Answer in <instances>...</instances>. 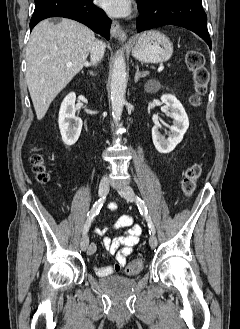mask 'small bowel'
Segmentation results:
<instances>
[{"label": "small bowel", "mask_w": 240, "mask_h": 329, "mask_svg": "<svg viewBox=\"0 0 240 329\" xmlns=\"http://www.w3.org/2000/svg\"><path fill=\"white\" fill-rule=\"evenodd\" d=\"M116 204L109 205L110 210H116ZM116 230H123V234L110 238L104 236L106 230H98L97 234L102 236V244L105 250L115 258V262L104 267H96V274L100 277H105L113 273L120 272L126 265L127 258L132 254L134 246L139 242L142 233V228L139 224L134 223L130 215L120 216L113 226ZM96 251V244L91 242L87 247V254L92 255Z\"/></svg>", "instance_id": "1"}]
</instances>
